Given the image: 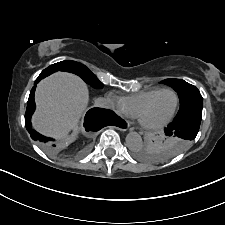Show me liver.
I'll return each mask as SVG.
<instances>
[{"label": "liver", "instance_id": "6515ba94", "mask_svg": "<svg viewBox=\"0 0 225 225\" xmlns=\"http://www.w3.org/2000/svg\"><path fill=\"white\" fill-rule=\"evenodd\" d=\"M35 100L33 126L42 134L57 137L76 126L88 104L89 93L78 76L57 72L37 85ZM75 135L76 131L65 141H72Z\"/></svg>", "mask_w": 225, "mask_h": 225}]
</instances>
